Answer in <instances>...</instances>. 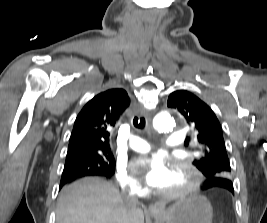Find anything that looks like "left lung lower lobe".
<instances>
[{
	"label": "left lung lower lobe",
	"instance_id": "obj_1",
	"mask_svg": "<svg viewBox=\"0 0 267 223\" xmlns=\"http://www.w3.org/2000/svg\"><path fill=\"white\" fill-rule=\"evenodd\" d=\"M208 178H223V173H208ZM200 192H216V195H233L234 189L231 180L213 179L199 188Z\"/></svg>",
	"mask_w": 267,
	"mask_h": 223
}]
</instances>
